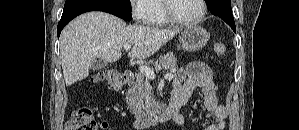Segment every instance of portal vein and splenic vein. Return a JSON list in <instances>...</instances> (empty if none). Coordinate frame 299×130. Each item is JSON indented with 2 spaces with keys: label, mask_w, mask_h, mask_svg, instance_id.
<instances>
[{
  "label": "portal vein and splenic vein",
  "mask_w": 299,
  "mask_h": 130,
  "mask_svg": "<svg viewBox=\"0 0 299 130\" xmlns=\"http://www.w3.org/2000/svg\"><path fill=\"white\" fill-rule=\"evenodd\" d=\"M124 49L127 50V51L130 50L131 45L124 46ZM139 70L143 75H145L149 79H155V77H156L154 71L151 68L147 67V66H140ZM164 78L167 79V80H171L173 78V74L172 73L166 74L164 76Z\"/></svg>",
  "instance_id": "portal-vein-and-splenic-vein-1"
}]
</instances>
